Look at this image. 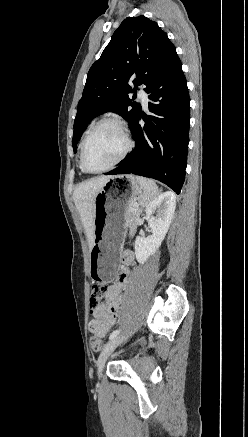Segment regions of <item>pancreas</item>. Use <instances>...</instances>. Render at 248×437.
Returning <instances> with one entry per match:
<instances>
[{
  "mask_svg": "<svg viewBox=\"0 0 248 437\" xmlns=\"http://www.w3.org/2000/svg\"><path fill=\"white\" fill-rule=\"evenodd\" d=\"M141 210L139 207H134L133 204H130L126 211V222L130 230H135L136 225L139 220Z\"/></svg>",
  "mask_w": 248,
  "mask_h": 437,
  "instance_id": "cf45deb5",
  "label": "pancreas"
}]
</instances>
